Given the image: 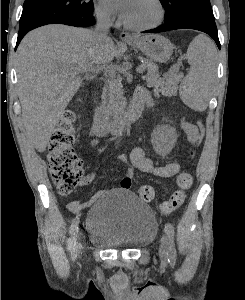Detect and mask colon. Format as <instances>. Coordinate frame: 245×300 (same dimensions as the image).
Returning <instances> with one entry per match:
<instances>
[{"label":"colon","instance_id":"1","mask_svg":"<svg viewBox=\"0 0 245 300\" xmlns=\"http://www.w3.org/2000/svg\"><path fill=\"white\" fill-rule=\"evenodd\" d=\"M75 114L72 110H66L59 123L53 130L48 143V168L52 181L61 195L70 194L83 181V164L73 150ZM200 137L204 135V125L197 123ZM194 151L191 152V155ZM193 182L189 172H181L176 180L177 189L169 200L161 205L164 214H170L178 209L185 200L186 191ZM138 197L144 202H150L154 198V189L149 185L138 189Z\"/></svg>","mask_w":245,"mask_h":300}]
</instances>
